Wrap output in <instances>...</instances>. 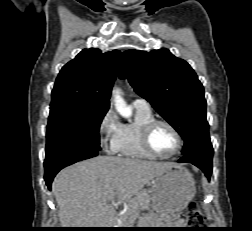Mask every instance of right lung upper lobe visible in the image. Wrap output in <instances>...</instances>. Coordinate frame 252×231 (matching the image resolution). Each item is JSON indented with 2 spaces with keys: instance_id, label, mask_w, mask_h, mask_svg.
<instances>
[{
  "instance_id": "right-lung-upper-lobe-1",
  "label": "right lung upper lobe",
  "mask_w": 252,
  "mask_h": 231,
  "mask_svg": "<svg viewBox=\"0 0 252 231\" xmlns=\"http://www.w3.org/2000/svg\"><path fill=\"white\" fill-rule=\"evenodd\" d=\"M119 57V50L102 53L97 48L83 49L61 69L52 90V102L109 108Z\"/></svg>"
}]
</instances>
